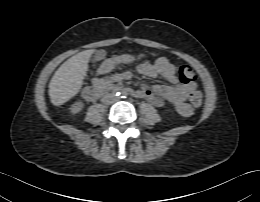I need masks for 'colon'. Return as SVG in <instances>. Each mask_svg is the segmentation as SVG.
<instances>
[{"instance_id": "obj_1", "label": "colon", "mask_w": 260, "mask_h": 202, "mask_svg": "<svg viewBox=\"0 0 260 202\" xmlns=\"http://www.w3.org/2000/svg\"><path fill=\"white\" fill-rule=\"evenodd\" d=\"M196 75L194 71L186 65H183L179 69V79L183 84L194 82ZM189 100L194 106H199L202 102V94L200 91H192L189 95Z\"/></svg>"}]
</instances>
